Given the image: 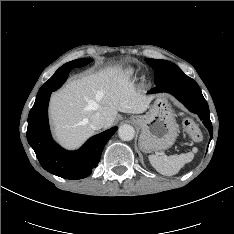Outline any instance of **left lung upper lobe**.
Here are the masks:
<instances>
[{
	"label": "left lung upper lobe",
	"mask_w": 234,
	"mask_h": 234,
	"mask_svg": "<svg viewBox=\"0 0 234 234\" xmlns=\"http://www.w3.org/2000/svg\"><path fill=\"white\" fill-rule=\"evenodd\" d=\"M145 61L154 68L156 85L168 79L184 75L183 71L177 65L169 61L158 59H146Z\"/></svg>",
	"instance_id": "left-lung-upper-lobe-1"
}]
</instances>
